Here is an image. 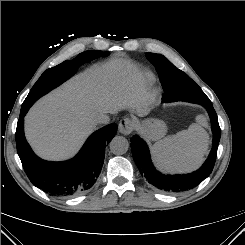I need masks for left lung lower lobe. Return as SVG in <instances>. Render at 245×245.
<instances>
[{"label": "left lung lower lobe", "instance_id": "left-lung-lower-lobe-1", "mask_svg": "<svg viewBox=\"0 0 245 245\" xmlns=\"http://www.w3.org/2000/svg\"><path fill=\"white\" fill-rule=\"evenodd\" d=\"M178 98H180V100H178ZM162 100L164 102L187 101L202 105L208 111L211 120V128L213 133L212 149L207 160L201 166V168L190 174H161L152 164L149 148L145 141L138 135H134L133 138H131L133 159L138 169L140 170V173L146 177L150 184L160 189L161 191L168 193H178L197 186L210 175L216 161L218 144L221 137V129L218 123L217 114L212 106V102L204 94L201 88L191 89L188 93L181 95V97L163 96Z\"/></svg>", "mask_w": 245, "mask_h": 245}]
</instances>
